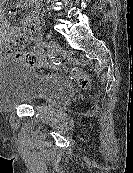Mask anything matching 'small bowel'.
Returning <instances> with one entry per match:
<instances>
[{"instance_id":"1","label":"small bowel","mask_w":133,"mask_h":173,"mask_svg":"<svg viewBox=\"0 0 133 173\" xmlns=\"http://www.w3.org/2000/svg\"><path fill=\"white\" fill-rule=\"evenodd\" d=\"M23 6L31 7L28 16L23 20L21 27H11L5 22L3 13L0 12V62L6 57L3 53L5 44L12 38H22L24 41H35L41 32L39 11L34 7L35 0H21ZM36 57L35 61L40 58ZM32 62V63H34Z\"/></svg>"}]
</instances>
